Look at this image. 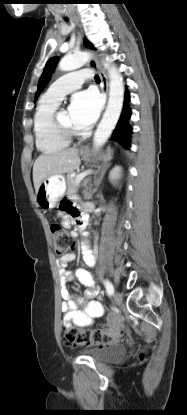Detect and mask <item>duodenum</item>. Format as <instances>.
I'll use <instances>...</instances> for the list:
<instances>
[{
    "label": "duodenum",
    "instance_id": "obj_1",
    "mask_svg": "<svg viewBox=\"0 0 187 415\" xmlns=\"http://www.w3.org/2000/svg\"><path fill=\"white\" fill-rule=\"evenodd\" d=\"M85 225V218L80 216L75 220L76 232L79 233L82 231Z\"/></svg>",
    "mask_w": 187,
    "mask_h": 415
}]
</instances>
